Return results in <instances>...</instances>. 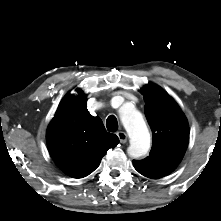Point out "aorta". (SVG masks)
<instances>
[{"label":"aorta","instance_id":"aorta-1","mask_svg":"<svg viewBox=\"0 0 221 221\" xmlns=\"http://www.w3.org/2000/svg\"><path fill=\"white\" fill-rule=\"evenodd\" d=\"M119 113L121 122L130 137L128 154L133 158L145 155L150 148V133L142 114L129 104L123 105Z\"/></svg>","mask_w":221,"mask_h":221}]
</instances>
